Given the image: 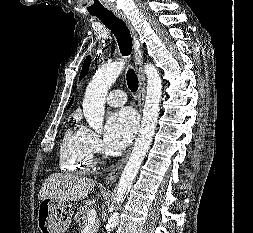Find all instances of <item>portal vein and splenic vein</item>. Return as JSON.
<instances>
[{"mask_svg":"<svg viewBox=\"0 0 253 233\" xmlns=\"http://www.w3.org/2000/svg\"><path fill=\"white\" fill-rule=\"evenodd\" d=\"M97 218V212L95 209H90L88 214H87V224H93L96 221Z\"/></svg>","mask_w":253,"mask_h":233,"instance_id":"obj_1","label":"portal vein and splenic vein"}]
</instances>
